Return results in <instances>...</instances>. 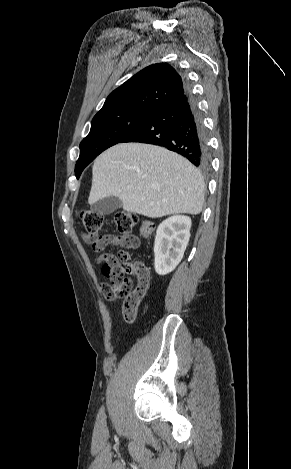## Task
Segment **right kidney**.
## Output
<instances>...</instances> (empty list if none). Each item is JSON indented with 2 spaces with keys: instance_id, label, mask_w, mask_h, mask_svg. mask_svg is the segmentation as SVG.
Here are the masks:
<instances>
[{
  "instance_id": "ca27d5eb",
  "label": "right kidney",
  "mask_w": 291,
  "mask_h": 469,
  "mask_svg": "<svg viewBox=\"0 0 291 469\" xmlns=\"http://www.w3.org/2000/svg\"><path fill=\"white\" fill-rule=\"evenodd\" d=\"M191 219L187 216H171L157 228L154 255L158 275L172 272L183 258L190 238Z\"/></svg>"
}]
</instances>
